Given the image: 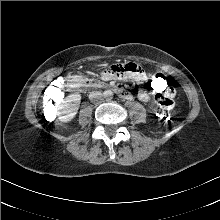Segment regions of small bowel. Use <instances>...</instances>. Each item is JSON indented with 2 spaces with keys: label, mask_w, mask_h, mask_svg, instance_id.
<instances>
[{
  "label": "small bowel",
  "mask_w": 220,
  "mask_h": 220,
  "mask_svg": "<svg viewBox=\"0 0 220 220\" xmlns=\"http://www.w3.org/2000/svg\"><path fill=\"white\" fill-rule=\"evenodd\" d=\"M146 73L141 69L139 64H132L131 62H124L118 63L110 68H106L101 72V79L103 81H110V80H123V79H132L138 83H144V79L146 77ZM154 93V92H153ZM156 95H163L170 98L175 96V90L173 87L169 85L166 92L162 94ZM132 96L128 93L126 99H131ZM139 100L143 102H147L150 99V93L147 90H141L138 94Z\"/></svg>",
  "instance_id": "1"
}]
</instances>
